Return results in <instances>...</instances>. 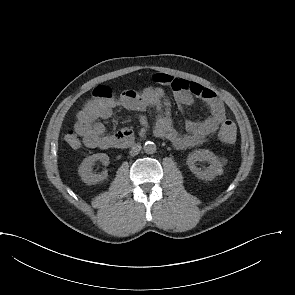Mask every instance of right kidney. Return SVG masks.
I'll use <instances>...</instances> for the list:
<instances>
[{"instance_id": "ca27d5eb", "label": "right kidney", "mask_w": 295, "mask_h": 295, "mask_svg": "<svg viewBox=\"0 0 295 295\" xmlns=\"http://www.w3.org/2000/svg\"><path fill=\"white\" fill-rule=\"evenodd\" d=\"M97 160H100L105 166L109 164V157L107 154L97 153L85 158L79 166L78 173L81 179L88 185L97 184L105 180L108 176L106 171L102 172L101 174L93 173L92 165Z\"/></svg>"}]
</instances>
